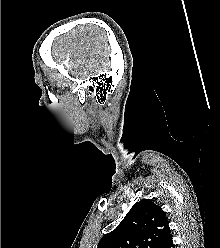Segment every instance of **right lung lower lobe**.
Wrapping results in <instances>:
<instances>
[{"instance_id":"right-lung-lower-lobe-1","label":"right lung lower lobe","mask_w":220,"mask_h":248,"mask_svg":"<svg viewBox=\"0 0 220 248\" xmlns=\"http://www.w3.org/2000/svg\"><path fill=\"white\" fill-rule=\"evenodd\" d=\"M173 240H172V236L170 238L167 239V241L163 244V246L161 248H173Z\"/></svg>"}]
</instances>
